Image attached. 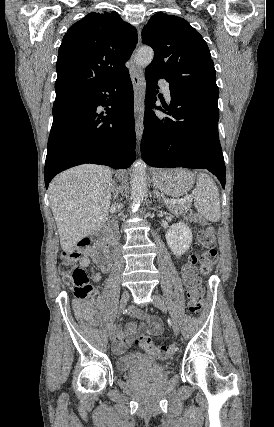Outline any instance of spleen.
<instances>
[{"label": "spleen", "instance_id": "3e777b00", "mask_svg": "<svg viewBox=\"0 0 274 427\" xmlns=\"http://www.w3.org/2000/svg\"><path fill=\"white\" fill-rule=\"evenodd\" d=\"M194 196L197 212L210 221H219L221 217L219 192L214 180L208 174H198Z\"/></svg>", "mask_w": 274, "mask_h": 427}]
</instances>
